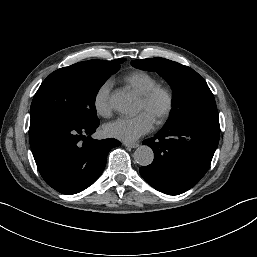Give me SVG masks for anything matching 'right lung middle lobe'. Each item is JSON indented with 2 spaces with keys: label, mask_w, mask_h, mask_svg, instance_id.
<instances>
[{
  "label": "right lung middle lobe",
  "mask_w": 257,
  "mask_h": 257,
  "mask_svg": "<svg viewBox=\"0 0 257 257\" xmlns=\"http://www.w3.org/2000/svg\"><path fill=\"white\" fill-rule=\"evenodd\" d=\"M123 61L99 66L79 62L51 73L41 84L31 103L33 117H53L73 124L99 121L95 98L105 81L120 69Z\"/></svg>",
  "instance_id": "dd1d6c3e"
}]
</instances>
